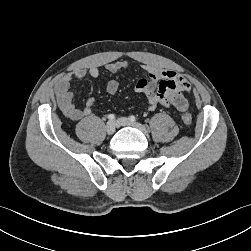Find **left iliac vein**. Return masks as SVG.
<instances>
[{
    "label": "left iliac vein",
    "mask_w": 251,
    "mask_h": 251,
    "mask_svg": "<svg viewBox=\"0 0 251 251\" xmlns=\"http://www.w3.org/2000/svg\"><path fill=\"white\" fill-rule=\"evenodd\" d=\"M117 124L120 126H129L139 129L144 134H147V129L140 123L130 121L128 118L122 117L117 120Z\"/></svg>",
    "instance_id": "left-iliac-vein-1"
}]
</instances>
